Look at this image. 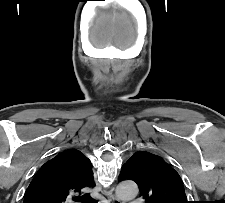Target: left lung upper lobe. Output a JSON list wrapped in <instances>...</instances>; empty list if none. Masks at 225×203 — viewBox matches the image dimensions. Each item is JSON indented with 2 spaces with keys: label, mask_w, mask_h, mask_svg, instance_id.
Returning <instances> with one entry per match:
<instances>
[{
  "label": "left lung upper lobe",
  "mask_w": 225,
  "mask_h": 203,
  "mask_svg": "<svg viewBox=\"0 0 225 203\" xmlns=\"http://www.w3.org/2000/svg\"><path fill=\"white\" fill-rule=\"evenodd\" d=\"M118 180L136 182L146 203H189L177 171L149 152H135L122 166Z\"/></svg>",
  "instance_id": "obj_1"
}]
</instances>
